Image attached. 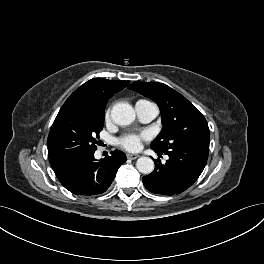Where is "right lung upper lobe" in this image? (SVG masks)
Wrapping results in <instances>:
<instances>
[{
    "label": "right lung upper lobe",
    "mask_w": 264,
    "mask_h": 264,
    "mask_svg": "<svg viewBox=\"0 0 264 264\" xmlns=\"http://www.w3.org/2000/svg\"><path fill=\"white\" fill-rule=\"evenodd\" d=\"M128 84L129 81L91 79L74 91L62 107L75 106L104 112L108 99Z\"/></svg>",
    "instance_id": "right-lung-upper-lobe-1"
}]
</instances>
